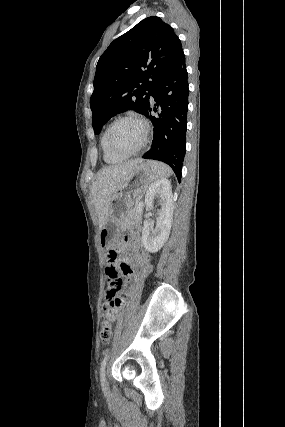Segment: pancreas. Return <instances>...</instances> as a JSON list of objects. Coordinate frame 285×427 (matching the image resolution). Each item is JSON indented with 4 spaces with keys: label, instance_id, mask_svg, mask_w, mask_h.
Listing matches in <instances>:
<instances>
[{
    "label": "pancreas",
    "instance_id": "1",
    "mask_svg": "<svg viewBox=\"0 0 285 427\" xmlns=\"http://www.w3.org/2000/svg\"><path fill=\"white\" fill-rule=\"evenodd\" d=\"M141 212L137 208H132L128 214V219L126 221H134L138 218Z\"/></svg>",
    "mask_w": 285,
    "mask_h": 427
}]
</instances>
